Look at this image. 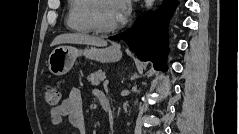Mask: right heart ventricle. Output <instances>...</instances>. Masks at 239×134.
<instances>
[{
    "mask_svg": "<svg viewBox=\"0 0 239 134\" xmlns=\"http://www.w3.org/2000/svg\"><path fill=\"white\" fill-rule=\"evenodd\" d=\"M91 0H71L68 7L67 27L78 33H90L92 28L87 19V11Z\"/></svg>",
    "mask_w": 239,
    "mask_h": 134,
    "instance_id": "1",
    "label": "right heart ventricle"
}]
</instances>
